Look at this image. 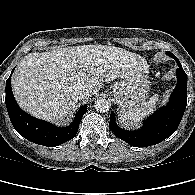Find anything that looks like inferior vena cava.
<instances>
[{"mask_svg": "<svg viewBox=\"0 0 195 195\" xmlns=\"http://www.w3.org/2000/svg\"><path fill=\"white\" fill-rule=\"evenodd\" d=\"M90 94L89 90L85 87H79L76 88L73 91V95L76 97V99L80 100V99H84L86 97H88Z\"/></svg>", "mask_w": 195, "mask_h": 195, "instance_id": "602c4592", "label": "inferior vena cava"}]
</instances>
